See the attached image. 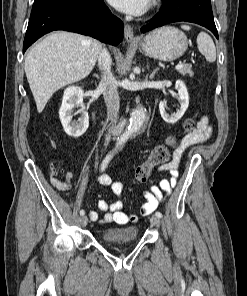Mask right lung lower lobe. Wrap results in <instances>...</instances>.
I'll use <instances>...</instances> for the list:
<instances>
[{"mask_svg":"<svg viewBox=\"0 0 247 296\" xmlns=\"http://www.w3.org/2000/svg\"><path fill=\"white\" fill-rule=\"evenodd\" d=\"M123 27L103 0H35L23 53L38 38L54 30L92 36L116 46L123 40Z\"/></svg>","mask_w":247,"mask_h":296,"instance_id":"98d812e1","label":"right lung lower lobe"}]
</instances>
